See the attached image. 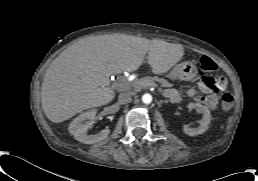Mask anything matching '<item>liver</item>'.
<instances>
[{
    "label": "liver",
    "instance_id": "liver-1",
    "mask_svg": "<svg viewBox=\"0 0 258 181\" xmlns=\"http://www.w3.org/2000/svg\"><path fill=\"white\" fill-rule=\"evenodd\" d=\"M184 55L182 45L126 34L83 38L50 64L42 82V108L54 123L111 102L109 77L135 71L147 60L156 74L168 72Z\"/></svg>",
    "mask_w": 258,
    "mask_h": 181
}]
</instances>
